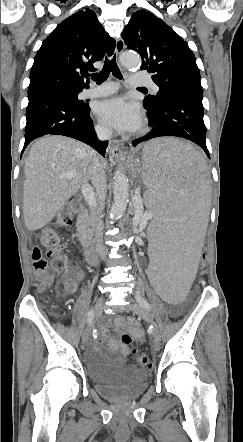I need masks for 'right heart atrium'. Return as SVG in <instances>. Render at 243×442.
<instances>
[{
    "mask_svg": "<svg viewBox=\"0 0 243 442\" xmlns=\"http://www.w3.org/2000/svg\"><path fill=\"white\" fill-rule=\"evenodd\" d=\"M96 130L101 135H107L109 133L108 129L101 124L96 125Z\"/></svg>",
    "mask_w": 243,
    "mask_h": 442,
    "instance_id": "obj_1",
    "label": "right heart atrium"
}]
</instances>
